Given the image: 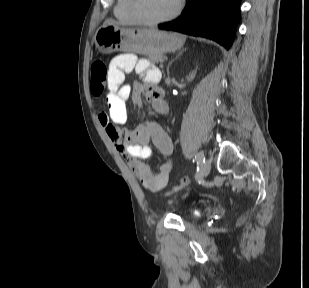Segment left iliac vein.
I'll list each match as a JSON object with an SVG mask.
<instances>
[{
    "instance_id": "left-iliac-vein-1",
    "label": "left iliac vein",
    "mask_w": 309,
    "mask_h": 288,
    "mask_svg": "<svg viewBox=\"0 0 309 288\" xmlns=\"http://www.w3.org/2000/svg\"><path fill=\"white\" fill-rule=\"evenodd\" d=\"M211 168V161L207 159L201 166V175L203 177L207 176Z\"/></svg>"
}]
</instances>
